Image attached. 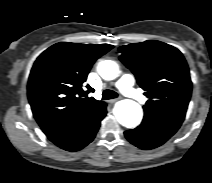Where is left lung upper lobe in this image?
Listing matches in <instances>:
<instances>
[{
  "label": "left lung upper lobe",
  "mask_w": 212,
  "mask_h": 183,
  "mask_svg": "<svg viewBox=\"0 0 212 183\" xmlns=\"http://www.w3.org/2000/svg\"><path fill=\"white\" fill-rule=\"evenodd\" d=\"M119 52V59L147 91L144 111L183 122L192 82L182 53L155 40L121 46Z\"/></svg>",
  "instance_id": "obj_1"
}]
</instances>
